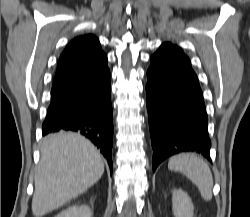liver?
Returning <instances> with one entry per match:
<instances>
[{
	"mask_svg": "<svg viewBox=\"0 0 250 217\" xmlns=\"http://www.w3.org/2000/svg\"><path fill=\"white\" fill-rule=\"evenodd\" d=\"M35 174L32 213L41 217L94 185L104 173L102 157L86 138L60 132L43 139Z\"/></svg>",
	"mask_w": 250,
	"mask_h": 217,
	"instance_id": "6515ba94",
	"label": "liver"
}]
</instances>
